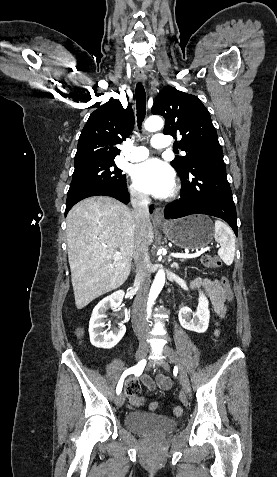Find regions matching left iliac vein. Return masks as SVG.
Here are the masks:
<instances>
[{
    "label": "left iliac vein",
    "instance_id": "1",
    "mask_svg": "<svg viewBox=\"0 0 277 477\" xmlns=\"http://www.w3.org/2000/svg\"><path fill=\"white\" fill-rule=\"evenodd\" d=\"M163 353L165 356H167V358L173 362L177 368H178V371H179V379H180V382H181V385H182V391L184 394H190V382H189V378L187 376V373L183 367V365L181 364L177 354L175 353V351L170 348L169 346H164L163 348ZM165 369H167V365H163Z\"/></svg>",
    "mask_w": 277,
    "mask_h": 477
}]
</instances>
